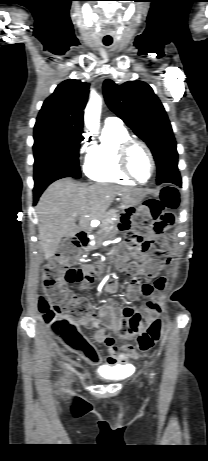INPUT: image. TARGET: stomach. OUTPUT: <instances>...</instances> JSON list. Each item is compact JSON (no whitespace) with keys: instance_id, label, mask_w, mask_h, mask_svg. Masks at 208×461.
Returning a JSON list of instances; mask_svg holds the SVG:
<instances>
[{"instance_id":"obj_1","label":"stomach","mask_w":208,"mask_h":461,"mask_svg":"<svg viewBox=\"0 0 208 461\" xmlns=\"http://www.w3.org/2000/svg\"><path fill=\"white\" fill-rule=\"evenodd\" d=\"M144 195L145 193L142 190H138L136 192L127 193V194H122V205H121L122 210L126 204H133L134 207L139 205ZM116 232H117V228L114 227L110 229L109 231H105L104 235L113 236L115 235Z\"/></svg>"}]
</instances>
